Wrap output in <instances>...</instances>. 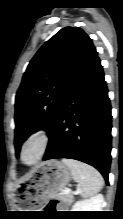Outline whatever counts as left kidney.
<instances>
[{"label":"left kidney","instance_id":"left-kidney-1","mask_svg":"<svg viewBox=\"0 0 123 219\" xmlns=\"http://www.w3.org/2000/svg\"><path fill=\"white\" fill-rule=\"evenodd\" d=\"M104 198L101 194H98L88 200L77 201L72 211H102Z\"/></svg>","mask_w":123,"mask_h":219}]
</instances>
